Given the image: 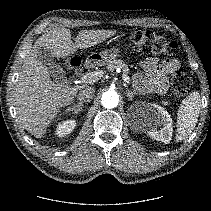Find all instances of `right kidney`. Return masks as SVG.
<instances>
[{"mask_svg":"<svg viewBox=\"0 0 211 211\" xmlns=\"http://www.w3.org/2000/svg\"><path fill=\"white\" fill-rule=\"evenodd\" d=\"M76 126V121L75 120H66L63 121L62 123H59L57 125V128L55 130V134L58 137H64L67 134H70Z\"/></svg>","mask_w":211,"mask_h":211,"instance_id":"right-kidney-1","label":"right kidney"}]
</instances>
